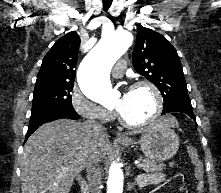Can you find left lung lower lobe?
<instances>
[{"instance_id": "left-lung-lower-lobe-1", "label": "left lung lower lobe", "mask_w": 221, "mask_h": 193, "mask_svg": "<svg viewBox=\"0 0 221 193\" xmlns=\"http://www.w3.org/2000/svg\"><path fill=\"white\" fill-rule=\"evenodd\" d=\"M169 112H182L190 116L195 122L196 118L193 113L191 102L176 103L163 109L162 114Z\"/></svg>"}]
</instances>
